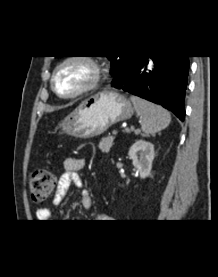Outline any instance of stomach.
I'll list each match as a JSON object with an SVG mask.
<instances>
[{"label":"stomach","mask_w":218,"mask_h":277,"mask_svg":"<svg viewBox=\"0 0 218 277\" xmlns=\"http://www.w3.org/2000/svg\"><path fill=\"white\" fill-rule=\"evenodd\" d=\"M134 113L131 102L115 91H102L84 100L60 124L62 133L88 139L103 134L112 125Z\"/></svg>","instance_id":"obj_1"}]
</instances>
